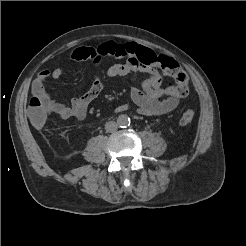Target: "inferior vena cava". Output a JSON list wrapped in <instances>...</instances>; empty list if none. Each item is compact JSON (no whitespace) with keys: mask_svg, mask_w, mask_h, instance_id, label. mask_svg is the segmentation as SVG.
Instances as JSON below:
<instances>
[{"mask_svg":"<svg viewBox=\"0 0 246 246\" xmlns=\"http://www.w3.org/2000/svg\"><path fill=\"white\" fill-rule=\"evenodd\" d=\"M118 129V124L114 121H109L105 124L106 132H114Z\"/></svg>","mask_w":246,"mask_h":246,"instance_id":"inferior-vena-cava-1","label":"inferior vena cava"}]
</instances>
